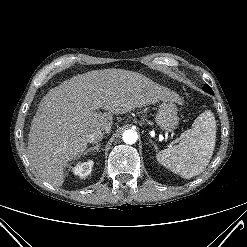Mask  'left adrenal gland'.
I'll return each instance as SVG.
<instances>
[{"label":"left adrenal gland","mask_w":247,"mask_h":247,"mask_svg":"<svg viewBox=\"0 0 247 247\" xmlns=\"http://www.w3.org/2000/svg\"><path fill=\"white\" fill-rule=\"evenodd\" d=\"M154 147H155V149L157 150V146H156V145H154Z\"/></svg>","instance_id":"obj_1"}]
</instances>
